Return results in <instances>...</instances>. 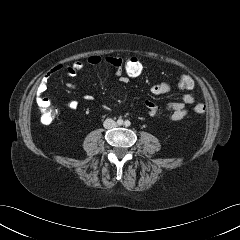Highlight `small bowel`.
Here are the masks:
<instances>
[{"instance_id":"obj_1","label":"small bowel","mask_w":240,"mask_h":240,"mask_svg":"<svg viewBox=\"0 0 240 240\" xmlns=\"http://www.w3.org/2000/svg\"><path fill=\"white\" fill-rule=\"evenodd\" d=\"M121 61L122 59L119 57H114V56H108V57H101L100 55H90L87 58V63L91 66H100L103 63L108 64L111 66L117 77L122 83H127L129 78L126 77L122 70H121ZM85 65L81 61H75L69 66H64L62 64L54 66L46 75V78L42 81V83L38 87V94L36 97V103L40 107H49L51 105L50 99L46 98L44 96L46 90H47V78L55 73V72H65L69 76H75L79 72H81L84 69ZM66 86L70 89H75L76 85L68 82L66 83ZM171 84L169 82H160L157 84H154L151 87V92L154 95H162L165 93H168L171 91ZM83 99L86 101H92L94 97L90 94H85L83 96ZM195 97L192 94H185L183 95L182 99L177 102H170L168 103L165 107H159L155 103H153L150 100L145 101V106L148 110V113L151 117H157L161 115L162 113L166 112L168 113V117L171 121H180L186 115L188 114L187 106L194 103ZM67 107L69 109L75 110L78 107V102L76 100H70L67 102Z\"/></svg>"}]
</instances>
